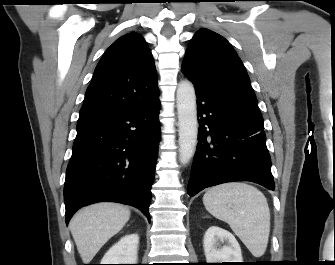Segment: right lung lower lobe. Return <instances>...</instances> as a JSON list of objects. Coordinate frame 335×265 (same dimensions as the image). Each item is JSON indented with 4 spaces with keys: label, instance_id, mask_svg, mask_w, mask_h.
Segmentation results:
<instances>
[{
    "label": "right lung lower lobe",
    "instance_id": "right-lung-lower-lobe-1",
    "mask_svg": "<svg viewBox=\"0 0 335 265\" xmlns=\"http://www.w3.org/2000/svg\"><path fill=\"white\" fill-rule=\"evenodd\" d=\"M159 109L156 99L136 109L78 122L64 184L66 224L79 208L100 201L137 207L150 221Z\"/></svg>",
    "mask_w": 335,
    "mask_h": 265
}]
</instances>
